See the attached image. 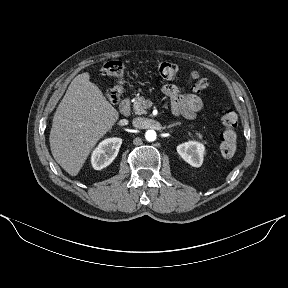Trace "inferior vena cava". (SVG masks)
<instances>
[{
	"label": "inferior vena cava",
	"mask_w": 288,
	"mask_h": 288,
	"mask_svg": "<svg viewBox=\"0 0 288 288\" xmlns=\"http://www.w3.org/2000/svg\"><path fill=\"white\" fill-rule=\"evenodd\" d=\"M133 126L136 128L159 129L161 127V122L159 120H149L137 117L133 119Z\"/></svg>",
	"instance_id": "obj_1"
}]
</instances>
